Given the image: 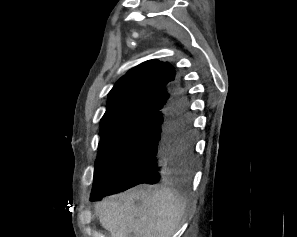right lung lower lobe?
<instances>
[{"instance_id": "obj_1", "label": "right lung lower lobe", "mask_w": 297, "mask_h": 237, "mask_svg": "<svg viewBox=\"0 0 297 237\" xmlns=\"http://www.w3.org/2000/svg\"><path fill=\"white\" fill-rule=\"evenodd\" d=\"M193 130L187 93L175 90L164 110L151 116L146 129L128 154L117 183L97 192L91 201L138 184H157L185 176L193 163Z\"/></svg>"}]
</instances>
